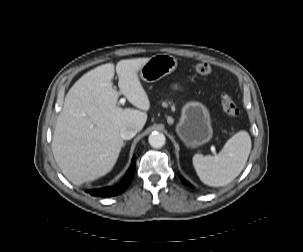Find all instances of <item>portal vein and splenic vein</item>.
<instances>
[{"mask_svg": "<svg viewBox=\"0 0 303 252\" xmlns=\"http://www.w3.org/2000/svg\"><path fill=\"white\" fill-rule=\"evenodd\" d=\"M125 102H126L125 98L120 99V104H124ZM211 150H212L213 153H215V148L214 147H212Z\"/></svg>", "mask_w": 303, "mask_h": 252, "instance_id": "18ae733b", "label": "portal vein and splenic vein"}]
</instances>
